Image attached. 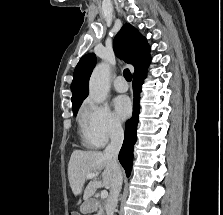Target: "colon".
<instances>
[{
  "label": "colon",
  "mask_w": 223,
  "mask_h": 215,
  "mask_svg": "<svg viewBox=\"0 0 223 215\" xmlns=\"http://www.w3.org/2000/svg\"><path fill=\"white\" fill-rule=\"evenodd\" d=\"M69 215H80L78 212H71Z\"/></svg>",
  "instance_id": "1"
}]
</instances>
